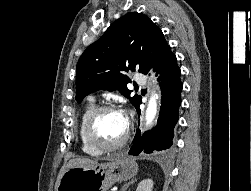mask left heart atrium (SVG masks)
Listing matches in <instances>:
<instances>
[{
  "label": "left heart atrium",
  "instance_id": "obj_1",
  "mask_svg": "<svg viewBox=\"0 0 251 191\" xmlns=\"http://www.w3.org/2000/svg\"><path fill=\"white\" fill-rule=\"evenodd\" d=\"M118 114L121 116V117H123V114H122V112H118Z\"/></svg>",
  "mask_w": 251,
  "mask_h": 191
}]
</instances>
